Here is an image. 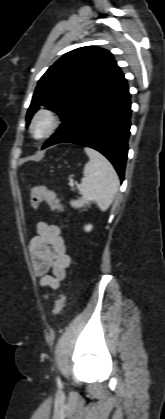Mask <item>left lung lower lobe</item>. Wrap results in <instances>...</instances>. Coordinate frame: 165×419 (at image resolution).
Returning <instances> with one entry per match:
<instances>
[{
  "label": "left lung lower lobe",
  "instance_id": "1",
  "mask_svg": "<svg viewBox=\"0 0 165 419\" xmlns=\"http://www.w3.org/2000/svg\"><path fill=\"white\" fill-rule=\"evenodd\" d=\"M130 116V93L121 73L78 107L42 149L63 142L91 147L109 159L123 181Z\"/></svg>",
  "mask_w": 165,
  "mask_h": 419
}]
</instances>
